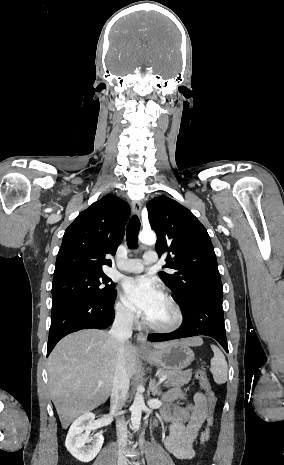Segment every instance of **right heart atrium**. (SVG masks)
Instances as JSON below:
<instances>
[{"instance_id":"right-heart-atrium-1","label":"right heart atrium","mask_w":284,"mask_h":465,"mask_svg":"<svg viewBox=\"0 0 284 465\" xmlns=\"http://www.w3.org/2000/svg\"><path fill=\"white\" fill-rule=\"evenodd\" d=\"M115 319L124 326H133L137 317L135 313L121 300H117L113 305Z\"/></svg>"}]
</instances>
